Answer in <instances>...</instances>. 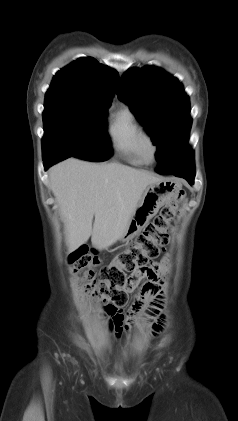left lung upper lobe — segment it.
<instances>
[{
  "instance_id": "1",
  "label": "left lung upper lobe",
  "mask_w": 238,
  "mask_h": 421,
  "mask_svg": "<svg viewBox=\"0 0 238 421\" xmlns=\"http://www.w3.org/2000/svg\"><path fill=\"white\" fill-rule=\"evenodd\" d=\"M117 96L129 105L157 146V172L167 174L194 163L188 147L189 98L176 78L157 67L133 68L122 76Z\"/></svg>"
}]
</instances>
